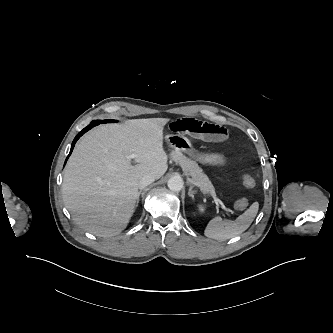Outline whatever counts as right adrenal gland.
<instances>
[{"label": "right adrenal gland", "instance_id": "1", "mask_svg": "<svg viewBox=\"0 0 333 333\" xmlns=\"http://www.w3.org/2000/svg\"><path fill=\"white\" fill-rule=\"evenodd\" d=\"M141 192H142V190H140V191L138 192L137 201H136V207L138 206V203H139V197H140Z\"/></svg>", "mask_w": 333, "mask_h": 333}]
</instances>
